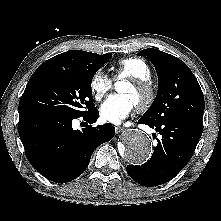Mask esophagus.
<instances>
[{
  "mask_svg": "<svg viewBox=\"0 0 221 221\" xmlns=\"http://www.w3.org/2000/svg\"><path fill=\"white\" fill-rule=\"evenodd\" d=\"M115 130H116V133H122V132H124L125 129L121 126H117V127H115Z\"/></svg>",
  "mask_w": 221,
  "mask_h": 221,
  "instance_id": "esophagus-1",
  "label": "esophagus"
}]
</instances>
